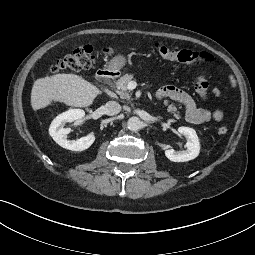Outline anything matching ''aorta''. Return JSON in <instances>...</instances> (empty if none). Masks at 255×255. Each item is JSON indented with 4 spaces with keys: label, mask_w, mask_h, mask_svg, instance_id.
Listing matches in <instances>:
<instances>
[{
    "label": "aorta",
    "mask_w": 255,
    "mask_h": 255,
    "mask_svg": "<svg viewBox=\"0 0 255 255\" xmlns=\"http://www.w3.org/2000/svg\"><path fill=\"white\" fill-rule=\"evenodd\" d=\"M143 127V122L140 120V118L133 116L130 117L127 121V128L130 131L137 132Z\"/></svg>",
    "instance_id": "1"
}]
</instances>
